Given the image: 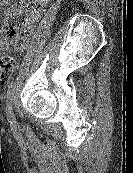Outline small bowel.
<instances>
[{"instance_id":"1","label":"small bowel","mask_w":133,"mask_h":173,"mask_svg":"<svg viewBox=\"0 0 133 173\" xmlns=\"http://www.w3.org/2000/svg\"><path fill=\"white\" fill-rule=\"evenodd\" d=\"M10 1L0 0V9ZM48 2L49 0H19L9 7L4 16L0 18V48H5L9 45L10 36L22 40L17 48V51L21 52L26 47L28 38L41 18ZM16 17H22L21 33H19L17 24H9L10 20Z\"/></svg>"}]
</instances>
